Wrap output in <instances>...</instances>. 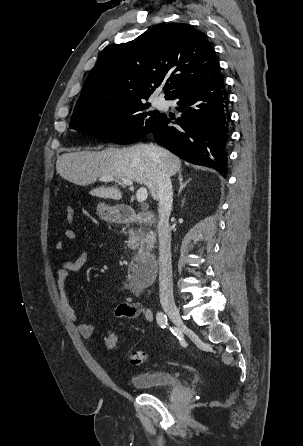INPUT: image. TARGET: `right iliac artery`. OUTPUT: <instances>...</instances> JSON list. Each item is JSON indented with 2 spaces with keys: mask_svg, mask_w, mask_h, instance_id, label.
I'll return each instance as SVG.
<instances>
[{
  "mask_svg": "<svg viewBox=\"0 0 303 446\" xmlns=\"http://www.w3.org/2000/svg\"><path fill=\"white\" fill-rule=\"evenodd\" d=\"M156 320L161 328H165L167 326V316L163 312L157 313Z\"/></svg>",
  "mask_w": 303,
  "mask_h": 446,
  "instance_id": "right-iliac-artery-1",
  "label": "right iliac artery"
}]
</instances>
